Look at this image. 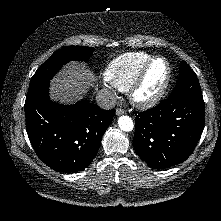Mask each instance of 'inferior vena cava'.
Returning <instances> with one entry per match:
<instances>
[{"instance_id": "inferior-vena-cava-1", "label": "inferior vena cava", "mask_w": 221, "mask_h": 221, "mask_svg": "<svg viewBox=\"0 0 221 221\" xmlns=\"http://www.w3.org/2000/svg\"><path fill=\"white\" fill-rule=\"evenodd\" d=\"M96 102L100 108L109 110L116 106L117 98L112 91L102 89L96 95Z\"/></svg>"}]
</instances>
